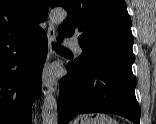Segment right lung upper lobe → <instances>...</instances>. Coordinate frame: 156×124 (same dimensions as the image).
<instances>
[{"label":"right lung upper lobe","mask_w":156,"mask_h":124,"mask_svg":"<svg viewBox=\"0 0 156 124\" xmlns=\"http://www.w3.org/2000/svg\"><path fill=\"white\" fill-rule=\"evenodd\" d=\"M48 10L47 0H0V45L36 35Z\"/></svg>","instance_id":"right-lung-upper-lobe-1"}]
</instances>
